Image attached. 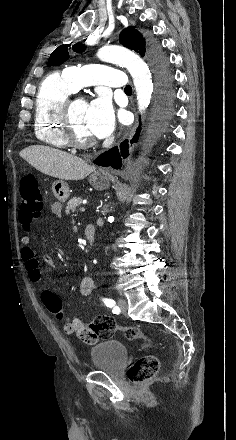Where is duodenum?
I'll return each mask as SVG.
<instances>
[{"instance_id":"obj_1","label":"duodenum","mask_w":236,"mask_h":440,"mask_svg":"<svg viewBox=\"0 0 236 440\" xmlns=\"http://www.w3.org/2000/svg\"><path fill=\"white\" fill-rule=\"evenodd\" d=\"M84 235L89 244L93 243L95 239V227L92 224H89L84 229Z\"/></svg>"}]
</instances>
